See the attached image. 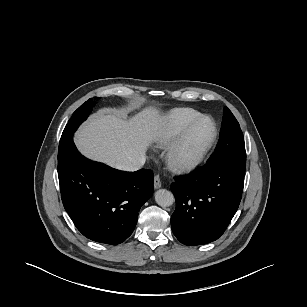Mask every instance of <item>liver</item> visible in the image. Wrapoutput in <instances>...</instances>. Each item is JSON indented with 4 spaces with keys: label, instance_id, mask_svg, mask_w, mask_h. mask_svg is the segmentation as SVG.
<instances>
[{
    "label": "liver",
    "instance_id": "1",
    "mask_svg": "<svg viewBox=\"0 0 307 307\" xmlns=\"http://www.w3.org/2000/svg\"><path fill=\"white\" fill-rule=\"evenodd\" d=\"M164 118L153 107L131 118L100 111L76 133L75 144L86 157L116 167L146 155L163 132Z\"/></svg>",
    "mask_w": 307,
    "mask_h": 307
}]
</instances>
